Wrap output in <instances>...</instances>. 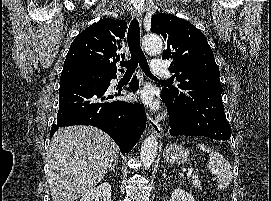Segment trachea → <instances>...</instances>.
Masks as SVG:
<instances>
[{
	"label": "trachea",
	"instance_id": "trachea-1",
	"mask_svg": "<svg viewBox=\"0 0 271 201\" xmlns=\"http://www.w3.org/2000/svg\"><path fill=\"white\" fill-rule=\"evenodd\" d=\"M127 41L129 51L131 53V58L128 61L120 62V65L127 69L126 73H134L137 66L139 65L142 71L148 77L156 79V77L150 71L147 59L140 46V27L136 18H134L129 25Z\"/></svg>",
	"mask_w": 271,
	"mask_h": 201
}]
</instances>
